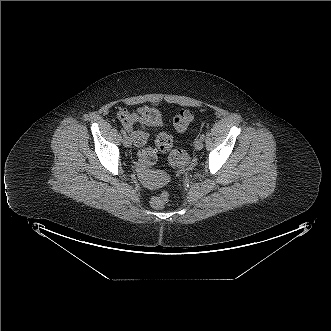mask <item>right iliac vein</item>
<instances>
[{"instance_id":"obj_1","label":"right iliac vein","mask_w":331,"mask_h":331,"mask_svg":"<svg viewBox=\"0 0 331 331\" xmlns=\"http://www.w3.org/2000/svg\"><path fill=\"white\" fill-rule=\"evenodd\" d=\"M123 145L125 147H130L131 146V140H130V137L128 135H125L123 137Z\"/></svg>"}]
</instances>
